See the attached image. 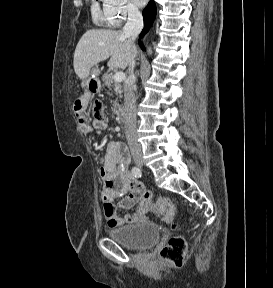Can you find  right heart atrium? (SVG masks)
<instances>
[{"label": "right heart atrium", "instance_id": "d8ad5b80", "mask_svg": "<svg viewBox=\"0 0 273 288\" xmlns=\"http://www.w3.org/2000/svg\"><path fill=\"white\" fill-rule=\"evenodd\" d=\"M103 5L112 26H119L138 15V9L131 0H103Z\"/></svg>", "mask_w": 273, "mask_h": 288}]
</instances>
